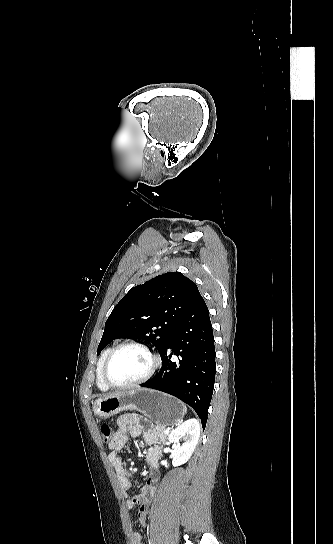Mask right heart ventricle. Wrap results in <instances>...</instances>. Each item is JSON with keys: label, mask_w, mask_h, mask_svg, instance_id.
<instances>
[{"label": "right heart ventricle", "mask_w": 333, "mask_h": 544, "mask_svg": "<svg viewBox=\"0 0 333 544\" xmlns=\"http://www.w3.org/2000/svg\"><path fill=\"white\" fill-rule=\"evenodd\" d=\"M112 348L113 347H107L106 349H104V351L102 352L101 356L99 357V360H98V363H97L96 383H97L98 388L100 390H102V391H106V390H108L110 388L104 383V381L102 379V366H103V363H104L107 355L112 350Z\"/></svg>", "instance_id": "1"}]
</instances>
